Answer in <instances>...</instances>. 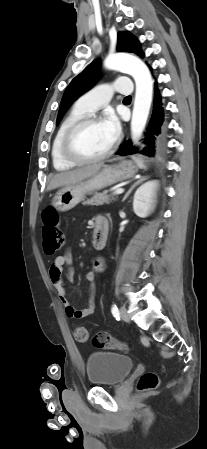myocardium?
I'll use <instances>...</instances> for the list:
<instances>
[{"instance_id": "1", "label": "myocardium", "mask_w": 207, "mask_h": 449, "mask_svg": "<svg viewBox=\"0 0 207 449\" xmlns=\"http://www.w3.org/2000/svg\"><path fill=\"white\" fill-rule=\"evenodd\" d=\"M97 123H101L99 118L95 116H85L72 123L65 131L61 141V153L68 162L74 164L94 163L102 161L112 154L115 148V142H113L106 151L97 156H84L79 154L73 148V139L75 134L81 128Z\"/></svg>"}]
</instances>
